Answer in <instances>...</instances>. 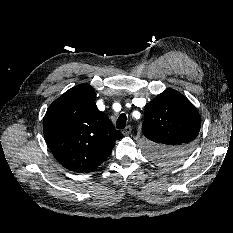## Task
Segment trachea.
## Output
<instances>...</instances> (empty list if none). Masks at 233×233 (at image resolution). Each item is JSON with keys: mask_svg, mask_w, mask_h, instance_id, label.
<instances>
[{"mask_svg": "<svg viewBox=\"0 0 233 233\" xmlns=\"http://www.w3.org/2000/svg\"><path fill=\"white\" fill-rule=\"evenodd\" d=\"M127 117L126 114L122 113L116 122L117 129H124L126 126Z\"/></svg>", "mask_w": 233, "mask_h": 233, "instance_id": "1", "label": "trachea"}]
</instances>
